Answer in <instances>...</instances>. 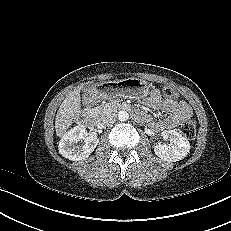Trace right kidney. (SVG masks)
Wrapping results in <instances>:
<instances>
[{
    "label": "right kidney",
    "mask_w": 231,
    "mask_h": 231,
    "mask_svg": "<svg viewBox=\"0 0 231 231\" xmlns=\"http://www.w3.org/2000/svg\"><path fill=\"white\" fill-rule=\"evenodd\" d=\"M82 140L83 145H77ZM98 143L97 136L87 134L86 125L79 124L63 135L59 142V153L72 161L84 160L94 151Z\"/></svg>",
    "instance_id": "1"
}]
</instances>
